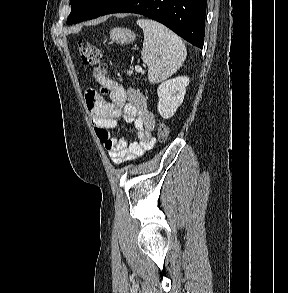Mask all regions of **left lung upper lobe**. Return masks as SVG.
Masks as SVG:
<instances>
[{"label": "left lung upper lobe", "mask_w": 288, "mask_h": 293, "mask_svg": "<svg viewBox=\"0 0 288 293\" xmlns=\"http://www.w3.org/2000/svg\"><path fill=\"white\" fill-rule=\"evenodd\" d=\"M116 0H70L71 13L67 24L99 17Z\"/></svg>", "instance_id": "1"}]
</instances>
